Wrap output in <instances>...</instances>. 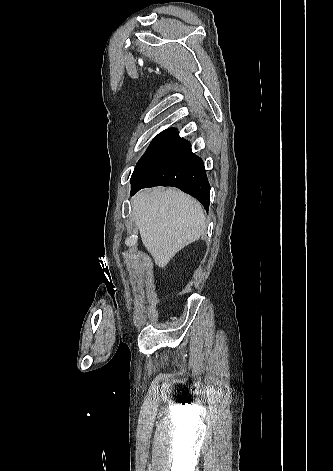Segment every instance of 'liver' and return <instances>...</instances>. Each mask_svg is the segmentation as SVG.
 Masks as SVG:
<instances>
[{
  "label": "liver",
  "instance_id": "6515ba94",
  "mask_svg": "<svg viewBox=\"0 0 333 471\" xmlns=\"http://www.w3.org/2000/svg\"><path fill=\"white\" fill-rule=\"evenodd\" d=\"M132 214L143 245L159 267H164L205 230L201 204L180 190L154 188L132 199Z\"/></svg>",
  "mask_w": 333,
  "mask_h": 471
}]
</instances>
